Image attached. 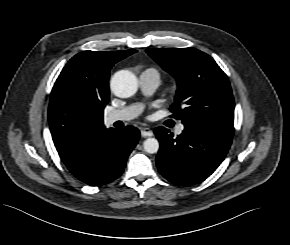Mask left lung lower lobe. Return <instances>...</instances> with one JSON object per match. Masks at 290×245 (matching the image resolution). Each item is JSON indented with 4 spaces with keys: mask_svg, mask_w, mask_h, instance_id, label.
<instances>
[{
    "mask_svg": "<svg viewBox=\"0 0 290 245\" xmlns=\"http://www.w3.org/2000/svg\"><path fill=\"white\" fill-rule=\"evenodd\" d=\"M184 127L175 139L164 127L154 129L160 142L156 165L170 182L192 186L208 178L222 163L233 136L200 123H188Z\"/></svg>",
    "mask_w": 290,
    "mask_h": 245,
    "instance_id": "obj_1",
    "label": "left lung lower lobe"
}]
</instances>
